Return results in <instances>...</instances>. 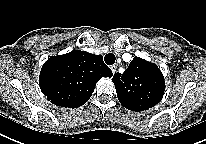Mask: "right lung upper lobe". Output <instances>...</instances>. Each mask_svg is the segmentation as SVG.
Here are the masks:
<instances>
[{"label": "right lung upper lobe", "mask_w": 206, "mask_h": 144, "mask_svg": "<svg viewBox=\"0 0 206 144\" xmlns=\"http://www.w3.org/2000/svg\"><path fill=\"white\" fill-rule=\"evenodd\" d=\"M112 75L101 55L73 50L44 63L39 85L53 104L76 108L89 100L100 78Z\"/></svg>", "instance_id": "1"}]
</instances>
